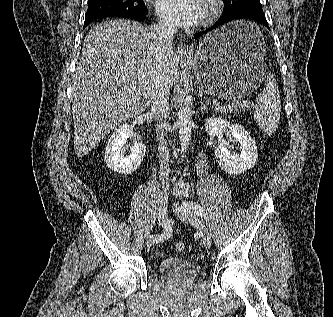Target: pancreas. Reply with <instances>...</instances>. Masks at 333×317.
Segmentation results:
<instances>
[{
  "label": "pancreas",
  "mask_w": 333,
  "mask_h": 317,
  "mask_svg": "<svg viewBox=\"0 0 333 317\" xmlns=\"http://www.w3.org/2000/svg\"><path fill=\"white\" fill-rule=\"evenodd\" d=\"M242 108H244V104H242V103H232L229 105H220V104L216 105V110L221 113H228V112L233 113V112L237 111L238 109H242Z\"/></svg>",
  "instance_id": "cf45deb5"
}]
</instances>
